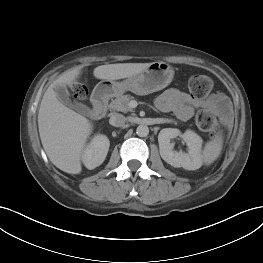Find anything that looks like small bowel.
Masks as SVG:
<instances>
[{"instance_id": "obj_1", "label": "small bowel", "mask_w": 263, "mask_h": 263, "mask_svg": "<svg viewBox=\"0 0 263 263\" xmlns=\"http://www.w3.org/2000/svg\"><path fill=\"white\" fill-rule=\"evenodd\" d=\"M156 106L163 112H173L183 121L190 119L197 108L214 111L223 117H227L230 111L228 99L219 92L207 99H198L177 88L164 91L156 99Z\"/></svg>"}]
</instances>
